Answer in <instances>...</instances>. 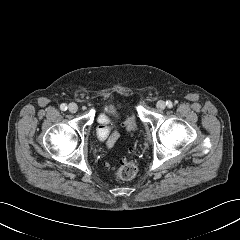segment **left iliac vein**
I'll return each instance as SVG.
<instances>
[{
	"instance_id": "1",
	"label": "left iliac vein",
	"mask_w": 240,
	"mask_h": 240,
	"mask_svg": "<svg viewBox=\"0 0 240 240\" xmlns=\"http://www.w3.org/2000/svg\"><path fill=\"white\" fill-rule=\"evenodd\" d=\"M156 107L159 109V110H164L165 107H166V103L162 100L158 101L157 104H156Z\"/></svg>"
}]
</instances>
